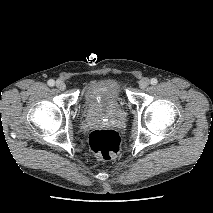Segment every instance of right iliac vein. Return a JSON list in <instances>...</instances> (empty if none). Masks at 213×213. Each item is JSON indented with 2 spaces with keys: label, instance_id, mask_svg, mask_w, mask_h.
<instances>
[{
  "label": "right iliac vein",
  "instance_id": "obj_1",
  "mask_svg": "<svg viewBox=\"0 0 213 213\" xmlns=\"http://www.w3.org/2000/svg\"><path fill=\"white\" fill-rule=\"evenodd\" d=\"M56 87L60 90H65L66 89V84L65 82L61 81V80H57L56 81Z\"/></svg>",
  "mask_w": 213,
  "mask_h": 213
}]
</instances>
